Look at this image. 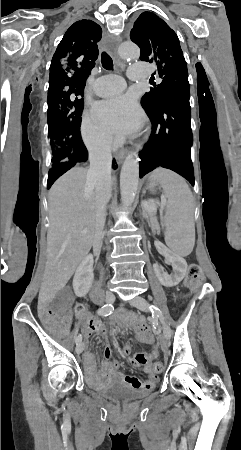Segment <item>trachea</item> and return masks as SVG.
<instances>
[{
	"label": "trachea",
	"instance_id": "trachea-1",
	"mask_svg": "<svg viewBox=\"0 0 241 450\" xmlns=\"http://www.w3.org/2000/svg\"><path fill=\"white\" fill-rule=\"evenodd\" d=\"M101 63L105 70H113V60L108 53L103 52L101 55Z\"/></svg>",
	"mask_w": 241,
	"mask_h": 450
}]
</instances>
